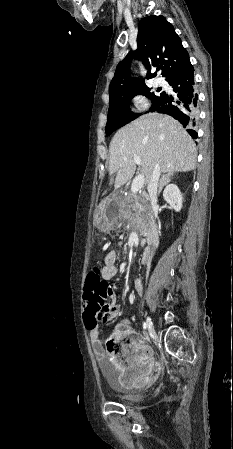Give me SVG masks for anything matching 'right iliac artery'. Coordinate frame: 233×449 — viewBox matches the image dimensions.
<instances>
[{"mask_svg":"<svg viewBox=\"0 0 233 449\" xmlns=\"http://www.w3.org/2000/svg\"><path fill=\"white\" fill-rule=\"evenodd\" d=\"M143 327H144V329H147L148 328V324L146 322H144Z\"/></svg>","mask_w":233,"mask_h":449,"instance_id":"1","label":"right iliac artery"}]
</instances>
